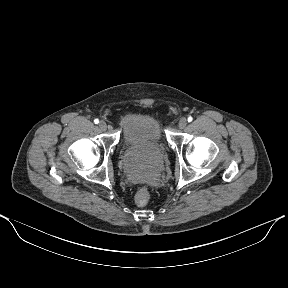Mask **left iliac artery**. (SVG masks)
Instances as JSON below:
<instances>
[{"label":"left iliac artery","mask_w":288,"mask_h":288,"mask_svg":"<svg viewBox=\"0 0 288 288\" xmlns=\"http://www.w3.org/2000/svg\"><path fill=\"white\" fill-rule=\"evenodd\" d=\"M193 118L191 116L188 117V122H191Z\"/></svg>","instance_id":"1"}]
</instances>
